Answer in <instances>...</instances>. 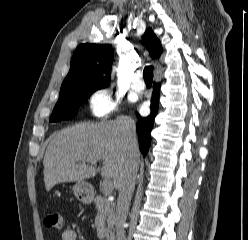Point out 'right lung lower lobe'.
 Masks as SVG:
<instances>
[{
	"mask_svg": "<svg viewBox=\"0 0 248 240\" xmlns=\"http://www.w3.org/2000/svg\"><path fill=\"white\" fill-rule=\"evenodd\" d=\"M159 90L160 83H155L153 85L152 92V103H151V113L149 116L143 118L137 113V133L139 138V149L143 156H145L150 147L151 136L150 133L153 129L154 120L158 112L159 107Z\"/></svg>",
	"mask_w": 248,
	"mask_h": 240,
	"instance_id": "right-lung-lower-lobe-1",
	"label": "right lung lower lobe"
}]
</instances>
